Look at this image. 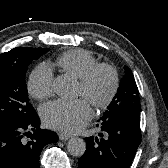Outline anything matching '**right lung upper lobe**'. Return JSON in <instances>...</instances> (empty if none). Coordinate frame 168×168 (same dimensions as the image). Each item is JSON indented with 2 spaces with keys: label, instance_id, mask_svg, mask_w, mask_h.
<instances>
[{
  "label": "right lung upper lobe",
  "instance_id": "obj_1",
  "mask_svg": "<svg viewBox=\"0 0 168 168\" xmlns=\"http://www.w3.org/2000/svg\"><path fill=\"white\" fill-rule=\"evenodd\" d=\"M15 49V48H14ZM14 49H12V50H14ZM11 51H9V52H5V53H3V54H1L0 56H4V55H6L7 53H10Z\"/></svg>",
  "mask_w": 168,
  "mask_h": 168
}]
</instances>
